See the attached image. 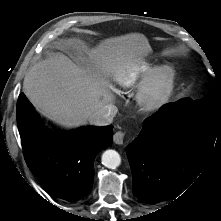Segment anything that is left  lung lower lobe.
I'll list each match as a JSON object with an SVG mask.
<instances>
[{
  "instance_id": "1",
  "label": "left lung lower lobe",
  "mask_w": 221,
  "mask_h": 221,
  "mask_svg": "<svg viewBox=\"0 0 221 221\" xmlns=\"http://www.w3.org/2000/svg\"><path fill=\"white\" fill-rule=\"evenodd\" d=\"M188 99L162 106L126 147L133 194L142 202L158 203L180 192L205 167L214 144L221 142V121L182 115Z\"/></svg>"
}]
</instances>
